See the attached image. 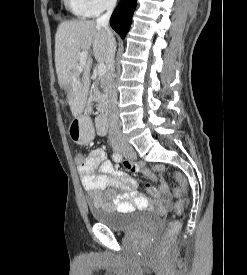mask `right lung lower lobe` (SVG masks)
I'll use <instances>...</instances> for the list:
<instances>
[{
  "mask_svg": "<svg viewBox=\"0 0 247 275\" xmlns=\"http://www.w3.org/2000/svg\"><path fill=\"white\" fill-rule=\"evenodd\" d=\"M136 4L137 0H122L111 16L110 24L122 39L130 28Z\"/></svg>",
  "mask_w": 247,
  "mask_h": 275,
  "instance_id": "obj_1",
  "label": "right lung lower lobe"
}]
</instances>
